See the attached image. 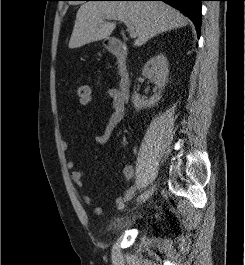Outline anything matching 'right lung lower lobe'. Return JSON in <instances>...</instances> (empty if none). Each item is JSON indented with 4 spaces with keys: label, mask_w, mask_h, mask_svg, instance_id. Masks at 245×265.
Wrapping results in <instances>:
<instances>
[{
    "label": "right lung lower lobe",
    "mask_w": 245,
    "mask_h": 265,
    "mask_svg": "<svg viewBox=\"0 0 245 265\" xmlns=\"http://www.w3.org/2000/svg\"><path fill=\"white\" fill-rule=\"evenodd\" d=\"M116 1H164L182 11L194 24L198 36L201 29V1L203 0H116Z\"/></svg>",
    "instance_id": "right-lung-lower-lobe-1"
}]
</instances>
